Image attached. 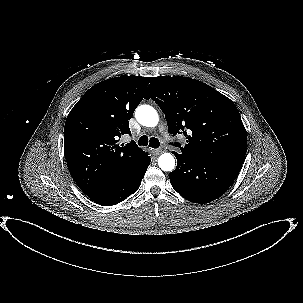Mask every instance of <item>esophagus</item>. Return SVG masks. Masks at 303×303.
<instances>
[{
	"label": "esophagus",
	"mask_w": 303,
	"mask_h": 303,
	"mask_svg": "<svg viewBox=\"0 0 303 303\" xmlns=\"http://www.w3.org/2000/svg\"><path fill=\"white\" fill-rule=\"evenodd\" d=\"M162 152H164V148H158V149H154V150H153V153H154L155 155H159V154H161Z\"/></svg>",
	"instance_id": "obj_1"
}]
</instances>
